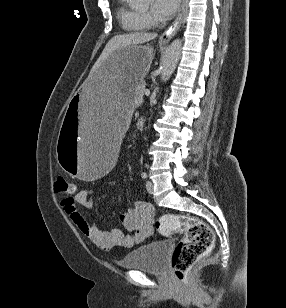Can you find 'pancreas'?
Segmentation results:
<instances>
[{"instance_id":"obj_1","label":"pancreas","mask_w":286,"mask_h":308,"mask_svg":"<svg viewBox=\"0 0 286 308\" xmlns=\"http://www.w3.org/2000/svg\"><path fill=\"white\" fill-rule=\"evenodd\" d=\"M145 84L141 81L134 90V97L137 103L141 104L143 102Z\"/></svg>"}]
</instances>
